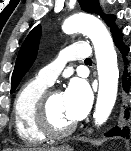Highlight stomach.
I'll list each match as a JSON object with an SVG mask.
<instances>
[{
  "instance_id": "0dacf381",
  "label": "stomach",
  "mask_w": 131,
  "mask_h": 151,
  "mask_svg": "<svg viewBox=\"0 0 131 151\" xmlns=\"http://www.w3.org/2000/svg\"><path fill=\"white\" fill-rule=\"evenodd\" d=\"M57 151H73V149L69 146H64V147L58 148Z\"/></svg>"
}]
</instances>
